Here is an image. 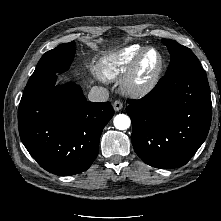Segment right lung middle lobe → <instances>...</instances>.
I'll list each match as a JSON object with an SVG mask.
<instances>
[{"mask_svg":"<svg viewBox=\"0 0 221 221\" xmlns=\"http://www.w3.org/2000/svg\"><path fill=\"white\" fill-rule=\"evenodd\" d=\"M75 42L61 44L58 47L46 52L37 64L34 74L47 71L58 73L65 72L73 61L75 53Z\"/></svg>","mask_w":221,"mask_h":221,"instance_id":"1","label":"right lung middle lobe"}]
</instances>
